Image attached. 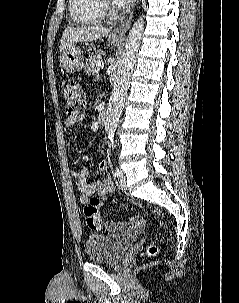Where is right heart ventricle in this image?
<instances>
[{"label":"right heart ventricle","mask_w":239,"mask_h":303,"mask_svg":"<svg viewBox=\"0 0 239 303\" xmlns=\"http://www.w3.org/2000/svg\"><path fill=\"white\" fill-rule=\"evenodd\" d=\"M70 15L78 24H97L104 19L100 0H68Z\"/></svg>","instance_id":"right-heart-ventricle-1"}]
</instances>
